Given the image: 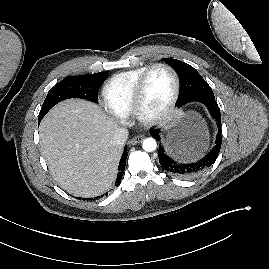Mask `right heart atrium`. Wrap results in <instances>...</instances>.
Returning <instances> with one entry per match:
<instances>
[{
	"label": "right heart atrium",
	"mask_w": 269,
	"mask_h": 269,
	"mask_svg": "<svg viewBox=\"0 0 269 269\" xmlns=\"http://www.w3.org/2000/svg\"><path fill=\"white\" fill-rule=\"evenodd\" d=\"M117 117L120 119L121 122L124 121V117H122V116H118V115H117Z\"/></svg>",
	"instance_id": "d8ad5b80"
}]
</instances>
